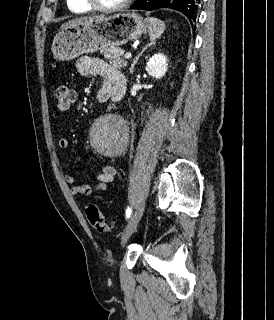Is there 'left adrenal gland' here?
<instances>
[{"label": "left adrenal gland", "instance_id": "a2214340", "mask_svg": "<svg viewBox=\"0 0 274 320\" xmlns=\"http://www.w3.org/2000/svg\"><path fill=\"white\" fill-rule=\"evenodd\" d=\"M155 48V42H151V44H147V46H145V48H143L142 52H140V54H138L137 58H135V60H133L132 64H131V68H129L130 70V74H133L134 72V66L135 64H137L140 56H142V54H144L145 50H148V48Z\"/></svg>", "mask_w": 274, "mask_h": 320}]
</instances>
